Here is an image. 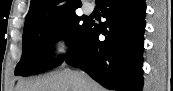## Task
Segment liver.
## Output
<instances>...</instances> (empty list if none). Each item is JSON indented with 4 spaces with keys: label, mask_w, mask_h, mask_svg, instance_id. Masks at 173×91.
<instances>
[{
    "label": "liver",
    "mask_w": 173,
    "mask_h": 91,
    "mask_svg": "<svg viewBox=\"0 0 173 91\" xmlns=\"http://www.w3.org/2000/svg\"><path fill=\"white\" fill-rule=\"evenodd\" d=\"M15 91H106L84 72L63 70L32 80L19 81Z\"/></svg>",
    "instance_id": "1"
}]
</instances>
